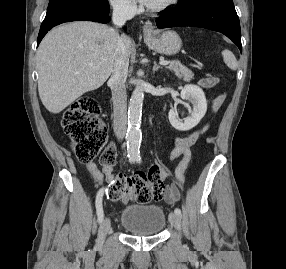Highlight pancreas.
I'll list each match as a JSON object with an SVG mask.
<instances>
[{"instance_id": "pancreas-1", "label": "pancreas", "mask_w": 286, "mask_h": 269, "mask_svg": "<svg viewBox=\"0 0 286 269\" xmlns=\"http://www.w3.org/2000/svg\"><path fill=\"white\" fill-rule=\"evenodd\" d=\"M167 68L171 71H173L175 73V75L180 78L183 79L185 81H189L191 79H193V72L191 70H189L187 67H185L184 65H182L179 61H171L169 63V66H167Z\"/></svg>"}]
</instances>
